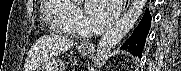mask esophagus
<instances>
[{
    "label": "esophagus",
    "instance_id": "esophagus-1",
    "mask_svg": "<svg viewBox=\"0 0 181 71\" xmlns=\"http://www.w3.org/2000/svg\"><path fill=\"white\" fill-rule=\"evenodd\" d=\"M130 4V0H125L124 1V6H123V12H125ZM83 46L89 47V48H94V44L90 42L82 43Z\"/></svg>",
    "mask_w": 181,
    "mask_h": 71
}]
</instances>
